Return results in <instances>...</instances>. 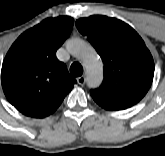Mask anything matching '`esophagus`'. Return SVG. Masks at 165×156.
I'll use <instances>...</instances> for the list:
<instances>
[{
	"label": "esophagus",
	"instance_id": "1",
	"mask_svg": "<svg viewBox=\"0 0 165 156\" xmlns=\"http://www.w3.org/2000/svg\"><path fill=\"white\" fill-rule=\"evenodd\" d=\"M86 82V78L84 76H80L77 78V83L81 86H83Z\"/></svg>",
	"mask_w": 165,
	"mask_h": 156
}]
</instances>
